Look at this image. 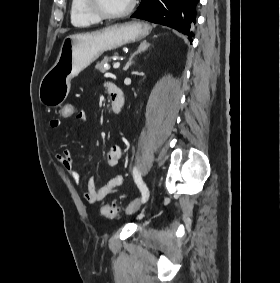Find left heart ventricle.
Wrapping results in <instances>:
<instances>
[{"label": "left heart ventricle", "mask_w": 280, "mask_h": 283, "mask_svg": "<svg viewBox=\"0 0 280 283\" xmlns=\"http://www.w3.org/2000/svg\"><path fill=\"white\" fill-rule=\"evenodd\" d=\"M100 7L107 13H119L125 10L131 0H98Z\"/></svg>", "instance_id": "obj_1"}]
</instances>
